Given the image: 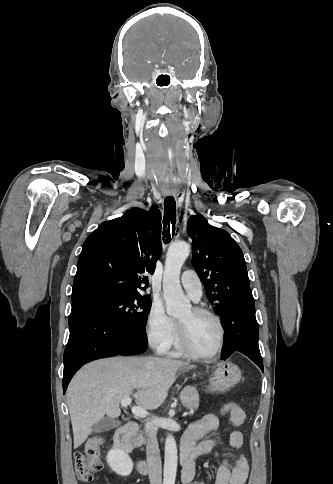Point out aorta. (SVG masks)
<instances>
[{
	"label": "aorta",
	"instance_id": "762f6f07",
	"mask_svg": "<svg viewBox=\"0 0 333 484\" xmlns=\"http://www.w3.org/2000/svg\"><path fill=\"white\" fill-rule=\"evenodd\" d=\"M189 253L190 246L185 241L173 243L167 252L163 275V297L169 316L182 315L191 307L190 301L184 295L180 284L181 268ZM177 461L175 438L172 435H168L165 439L163 484H175Z\"/></svg>",
	"mask_w": 333,
	"mask_h": 484
}]
</instances>
